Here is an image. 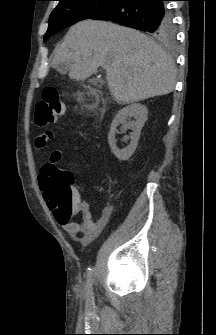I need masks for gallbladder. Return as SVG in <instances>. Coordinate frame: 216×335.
<instances>
[{"label": "gallbladder", "mask_w": 216, "mask_h": 335, "mask_svg": "<svg viewBox=\"0 0 216 335\" xmlns=\"http://www.w3.org/2000/svg\"><path fill=\"white\" fill-rule=\"evenodd\" d=\"M57 69H58L59 71L63 72V71H66L67 67H66V66H65V67H58Z\"/></svg>", "instance_id": "1"}]
</instances>
